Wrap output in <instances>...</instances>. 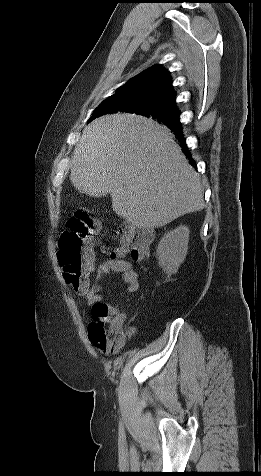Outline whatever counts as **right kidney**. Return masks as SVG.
Listing matches in <instances>:
<instances>
[{"label":"right kidney","instance_id":"right-kidney-1","mask_svg":"<svg viewBox=\"0 0 261 476\" xmlns=\"http://www.w3.org/2000/svg\"><path fill=\"white\" fill-rule=\"evenodd\" d=\"M189 241V228L180 225L164 234L157 247L158 264L166 274H175L184 261Z\"/></svg>","mask_w":261,"mask_h":476}]
</instances>
